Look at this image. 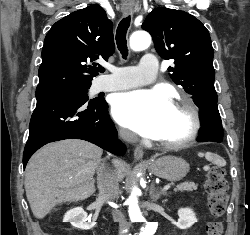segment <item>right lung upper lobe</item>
<instances>
[{"label": "right lung upper lobe", "mask_w": 250, "mask_h": 235, "mask_svg": "<svg viewBox=\"0 0 250 235\" xmlns=\"http://www.w3.org/2000/svg\"><path fill=\"white\" fill-rule=\"evenodd\" d=\"M114 49L113 23L99 5L57 21L45 37L36 97L90 87L98 73L87 63L108 60Z\"/></svg>", "instance_id": "cb5924a9"}]
</instances>
